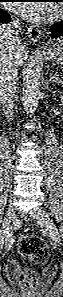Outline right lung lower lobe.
<instances>
[{"mask_svg":"<svg viewBox=\"0 0 63 297\" xmlns=\"http://www.w3.org/2000/svg\"><path fill=\"white\" fill-rule=\"evenodd\" d=\"M10 20V15L5 11L0 10V23H9Z\"/></svg>","mask_w":63,"mask_h":297,"instance_id":"98d812e1","label":"right lung lower lobe"}]
</instances>
